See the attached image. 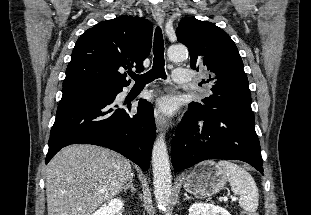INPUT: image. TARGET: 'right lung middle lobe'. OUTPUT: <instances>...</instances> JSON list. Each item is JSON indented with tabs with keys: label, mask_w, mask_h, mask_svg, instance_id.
<instances>
[{
	"label": "right lung middle lobe",
	"mask_w": 311,
	"mask_h": 215,
	"mask_svg": "<svg viewBox=\"0 0 311 215\" xmlns=\"http://www.w3.org/2000/svg\"><path fill=\"white\" fill-rule=\"evenodd\" d=\"M120 88L89 83H77L63 86L62 98L69 96H88L104 100V97L114 95Z\"/></svg>",
	"instance_id": "dd1d6c3e"
}]
</instances>
